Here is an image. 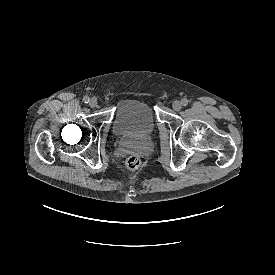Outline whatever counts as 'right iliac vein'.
I'll use <instances>...</instances> for the list:
<instances>
[{
	"label": "right iliac vein",
	"mask_w": 275,
	"mask_h": 275,
	"mask_svg": "<svg viewBox=\"0 0 275 275\" xmlns=\"http://www.w3.org/2000/svg\"><path fill=\"white\" fill-rule=\"evenodd\" d=\"M97 99L96 98H92L90 101H89V105L91 108H95L97 106Z\"/></svg>",
	"instance_id": "63e3f726"
}]
</instances>
